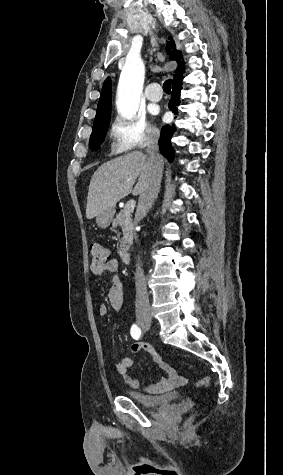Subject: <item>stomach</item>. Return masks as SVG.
<instances>
[{"label":"stomach","mask_w":283,"mask_h":475,"mask_svg":"<svg viewBox=\"0 0 283 475\" xmlns=\"http://www.w3.org/2000/svg\"><path fill=\"white\" fill-rule=\"evenodd\" d=\"M114 214V208H111V210H104V212L98 214V216H96V224L98 228H103V230L104 228H108L114 218Z\"/></svg>","instance_id":"0dacf381"}]
</instances>
